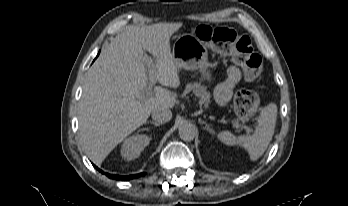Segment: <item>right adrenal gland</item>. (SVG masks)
<instances>
[{
  "label": "right adrenal gland",
  "mask_w": 348,
  "mask_h": 206,
  "mask_svg": "<svg viewBox=\"0 0 348 206\" xmlns=\"http://www.w3.org/2000/svg\"><path fill=\"white\" fill-rule=\"evenodd\" d=\"M150 124H153L155 127L162 125L161 123H158L156 121H147Z\"/></svg>",
  "instance_id": "1"
}]
</instances>
